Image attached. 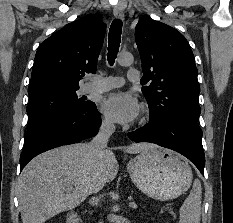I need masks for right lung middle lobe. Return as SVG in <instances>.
<instances>
[{
  "label": "right lung middle lobe",
  "mask_w": 233,
  "mask_h": 223,
  "mask_svg": "<svg viewBox=\"0 0 233 223\" xmlns=\"http://www.w3.org/2000/svg\"><path fill=\"white\" fill-rule=\"evenodd\" d=\"M79 87L50 88L30 94L28 129L43 122L81 110L93 102L77 96Z\"/></svg>",
  "instance_id": "dd1d6c3e"
}]
</instances>
